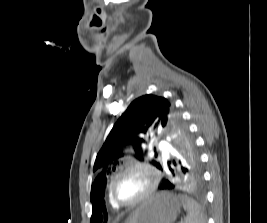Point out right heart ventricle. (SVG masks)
<instances>
[{
    "instance_id": "e07e8e85",
    "label": "right heart ventricle",
    "mask_w": 267,
    "mask_h": 223,
    "mask_svg": "<svg viewBox=\"0 0 267 223\" xmlns=\"http://www.w3.org/2000/svg\"><path fill=\"white\" fill-rule=\"evenodd\" d=\"M108 198H109V202H110V204H111L113 207H118V206H116V205L112 202L110 196H108Z\"/></svg>"
}]
</instances>
